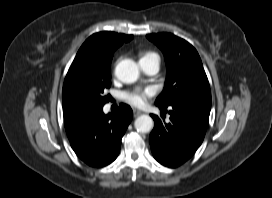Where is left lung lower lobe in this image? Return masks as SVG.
Here are the masks:
<instances>
[{
  "mask_svg": "<svg viewBox=\"0 0 272 198\" xmlns=\"http://www.w3.org/2000/svg\"><path fill=\"white\" fill-rule=\"evenodd\" d=\"M156 105L163 110V119L151 115L155 122L150 134L153 156L164 166L177 167L187 161L201 145L211 107L186 103ZM167 109L170 114L168 123L164 121Z\"/></svg>",
  "mask_w": 272,
  "mask_h": 198,
  "instance_id": "obj_1",
  "label": "left lung lower lobe"
}]
</instances>
